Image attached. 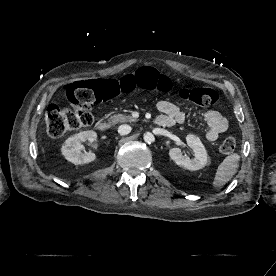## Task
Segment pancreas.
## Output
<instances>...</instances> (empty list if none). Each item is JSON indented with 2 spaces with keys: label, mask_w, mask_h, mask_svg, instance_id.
Returning <instances> with one entry per match:
<instances>
[{
  "label": "pancreas",
  "mask_w": 276,
  "mask_h": 276,
  "mask_svg": "<svg viewBox=\"0 0 276 276\" xmlns=\"http://www.w3.org/2000/svg\"><path fill=\"white\" fill-rule=\"evenodd\" d=\"M109 124L114 125L116 123L135 122L136 119L130 115L114 114L109 118Z\"/></svg>",
  "instance_id": "1"
}]
</instances>
